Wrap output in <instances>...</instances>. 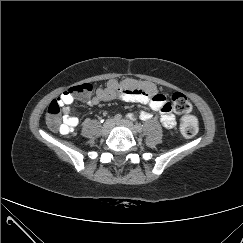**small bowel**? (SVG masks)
Returning a JSON list of instances; mask_svg holds the SVG:
<instances>
[{
	"mask_svg": "<svg viewBox=\"0 0 243 243\" xmlns=\"http://www.w3.org/2000/svg\"><path fill=\"white\" fill-rule=\"evenodd\" d=\"M115 99L148 105L152 111L160 113V122L164 128L172 129L176 126V118L168 108L166 96L160 93L157 86L152 82L138 81L133 78L109 79L104 87L96 90L95 96L88 100V104L96 106L100 102ZM57 100L61 105L62 113V124L59 132L63 135L72 134L79 123V119L76 116L70 115L69 105L73 103L74 96L68 91L61 94ZM130 117L133 118V114ZM139 118L147 121L152 118V114L147 111H141Z\"/></svg>",
	"mask_w": 243,
	"mask_h": 243,
	"instance_id": "obj_1",
	"label": "small bowel"
}]
</instances>
